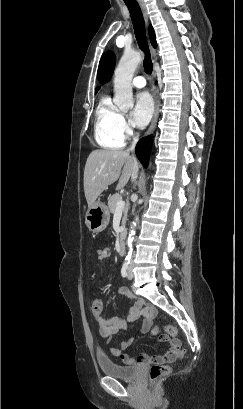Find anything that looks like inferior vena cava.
<instances>
[{
    "label": "inferior vena cava",
    "instance_id": "obj_1",
    "mask_svg": "<svg viewBox=\"0 0 243 409\" xmlns=\"http://www.w3.org/2000/svg\"><path fill=\"white\" fill-rule=\"evenodd\" d=\"M138 137H139L138 134H137L135 137H133L132 145L130 146V148H129L127 151H134L135 146H136V143H137V141H138ZM134 159H135V158H134ZM136 178H137V172H135V173L132 175V179H133V180H135Z\"/></svg>",
    "mask_w": 243,
    "mask_h": 409
}]
</instances>
